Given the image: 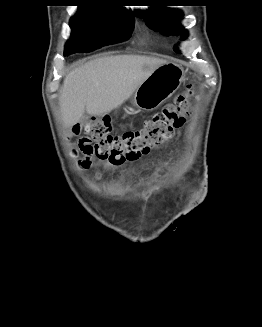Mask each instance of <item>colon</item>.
<instances>
[{
	"label": "colon",
	"mask_w": 262,
	"mask_h": 327,
	"mask_svg": "<svg viewBox=\"0 0 262 327\" xmlns=\"http://www.w3.org/2000/svg\"><path fill=\"white\" fill-rule=\"evenodd\" d=\"M194 97L195 93L189 87L172 103L145 120L142 128L122 134L112 133L109 117L91 116L82 124L85 136L79 141V150L113 166L137 160L172 138L191 114Z\"/></svg>",
	"instance_id": "obj_1"
}]
</instances>
